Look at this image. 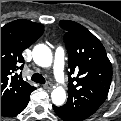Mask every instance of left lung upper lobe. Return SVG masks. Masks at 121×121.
Listing matches in <instances>:
<instances>
[{
    "instance_id": "left-lung-upper-lobe-1",
    "label": "left lung upper lobe",
    "mask_w": 121,
    "mask_h": 121,
    "mask_svg": "<svg viewBox=\"0 0 121 121\" xmlns=\"http://www.w3.org/2000/svg\"><path fill=\"white\" fill-rule=\"evenodd\" d=\"M59 25L66 30L64 42L70 68L68 101L60 109L71 121H82L105 101L112 66L102 43L85 27L70 20H61Z\"/></svg>"
}]
</instances>
